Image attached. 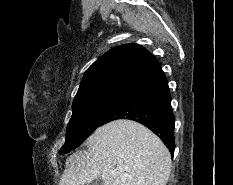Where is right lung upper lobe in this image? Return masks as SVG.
Masks as SVG:
<instances>
[{
  "label": "right lung upper lobe",
  "instance_id": "right-lung-upper-lobe-1",
  "mask_svg": "<svg viewBox=\"0 0 233 185\" xmlns=\"http://www.w3.org/2000/svg\"><path fill=\"white\" fill-rule=\"evenodd\" d=\"M160 72L159 62L145 48L138 44L121 45L89 67L76 96L105 88L132 90Z\"/></svg>",
  "mask_w": 233,
  "mask_h": 185
}]
</instances>
